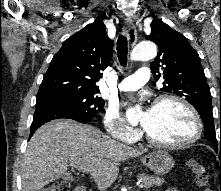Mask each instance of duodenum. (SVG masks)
<instances>
[{
	"label": "duodenum",
	"instance_id": "duodenum-1",
	"mask_svg": "<svg viewBox=\"0 0 221 191\" xmlns=\"http://www.w3.org/2000/svg\"><path fill=\"white\" fill-rule=\"evenodd\" d=\"M74 191H86V188L84 186H77Z\"/></svg>",
	"mask_w": 221,
	"mask_h": 191
}]
</instances>
